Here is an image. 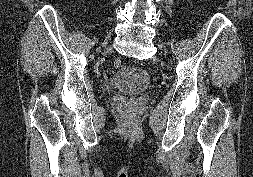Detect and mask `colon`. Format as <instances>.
Segmentation results:
<instances>
[{
    "mask_svg": "<svg viewBox=\"0 0 253 177\" xmlns=\"http://www.w3.org/2000/svg\"><path fill=\"white\" fill-rule=\"evenodd\" d=\"M113 65H114V67L117 68V69H118V68H121V67H122V61L119 60V59H116V60L114 61Z\"/></svg>",
    "mask_w": 253,
    "mask_h": 177,
    "instance_id": "obj_1",
    "label": "colon"
}]
</instances>
